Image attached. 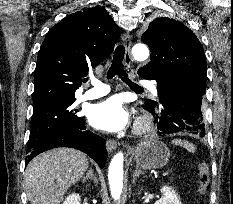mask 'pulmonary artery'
I'll return each mask as SVG.
<instances>
[{
    "mask_svg": "<svg viewBox=\"0 0 233 204\" xmlns=\"http://www.w3.org/2000/svg\"><path fill=\"white\" fill-rule=\"evenodd\" d=\"M90 82H91L92 88L88 89L87 91L83 93V95L81 96L82 100L96 99L109 93L110 88L107 84H104L98 79H91ZM137 84L139 86L150 89L154 93L157 92L155 85L151 81L140 79L138 80Z\"/></svg>",
    "mask_w": 233,
    "mask_h": 204,
    "instance_id": "pulmonary-artery-1",
    "label": "pulmonary artery"
}]
</instances>
